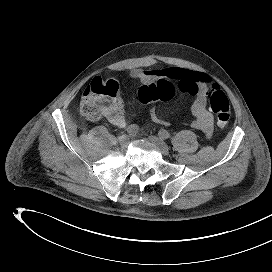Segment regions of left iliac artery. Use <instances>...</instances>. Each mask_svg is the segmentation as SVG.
<instances>
[{
    "label": "left iliac artery",
    "instance_id": "1",
    "mask_svg": "<svg viewBox=\"0 0 272 272\" xmlns=\"http://www.w3.org/2000/svg\"><path fill=\"white\" fill-rule=\"evenodd\" d=\"M158 135H159V137L162 138V139H168V138L170 137L169 132L166 131V130H164V129L160 130V131L158 132Z\"/></svg>",
    "mask_w": 272,
    "mask_h": 272
}]
</instances>
